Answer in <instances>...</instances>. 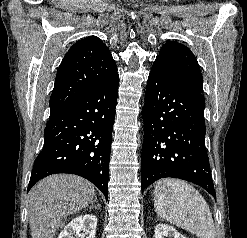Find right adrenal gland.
Here are the masks:
<instances>
[{"label": "right adrenal gland", "instance_id": "right-adrenal-gland-1", "mask_svg": "<svg viewBox=\"0 0 247 238\" xmlns=\"http://www.w3.org/2000/svg\"><path fill=\"white\" fill-rule=\"evenodd\" d=\"M96 201H97V198L95 197V199H94V201L92 202L91 206H89V209H93V208L98 209V207L95 205ZM87 209H88V208H87Z\"/></svg>", "mask_w": 247, "mask_h": 238}]
</instances>
